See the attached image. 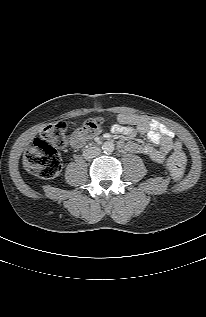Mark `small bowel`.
Instances as JSON below:
<instances>
[{"mask_svg": "<svg viewBox=\"0 0 206 317\" xmlns=\"http://www.w3.org/2000/svg\"><path fill=\"white\" fill-rule=\"evenodd\" d=\"M117 121L111 127L113 133L132 137L138 132L145 134L151 142L144 146L135 142H120V145L129 152L143 154L156 163H162L171 151L181 150V143L175 139L173 132L157 121L131 113L119 114ZM83 142L75 135L71 139L74 148L80 147Z\"/></svg>", "mask_w": 206, "mask_h": 317, "instance_id": "1", "label": "small bowel"}]
</instances>
